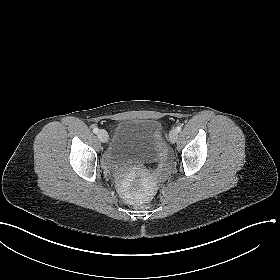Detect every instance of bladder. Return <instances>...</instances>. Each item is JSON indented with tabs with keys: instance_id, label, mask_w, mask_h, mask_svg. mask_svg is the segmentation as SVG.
I'll list each match as a JSON object with an SVG mask.
<instances>
[{
	"instance_id": "31cf9c89",
	"label": "bladder",
	"mask_w": 280,
	"mask_h": 280,
	"mask_svg": "<svg viewBox=\"0 0 280 280\" xmlns=\"http://www.w3.org/2000/svg\"><path fill=\"white\" fill-rule=\"evenodd\" d=\"M164 145L160 121L152 118H127L114 127L108 151L118 159L153 161L161 155Z\"/></svg>"
}]
</instances>
